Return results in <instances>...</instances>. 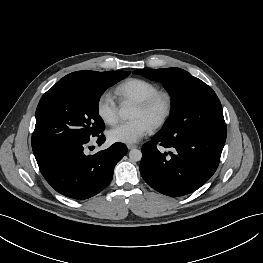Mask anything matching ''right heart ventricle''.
I'll return each instance as SVG.
<instances>
[{
    "label": "right heart ventricle",
    "instance_id": "obj_1",
    "mask_svg": "<svg viewBox=\"0 0 263 263\" xmlns=\"http://www.w3.org/2000/svg\"><path fill=\"white\" fill-rule=\"evenodd\" d=\"M159 90V87L148 80L129 78L116 86L114 93L122 104H136Z\"/></svg>",
    "mask_w": 263,
    "mask_h": 263
}]
</instances>
